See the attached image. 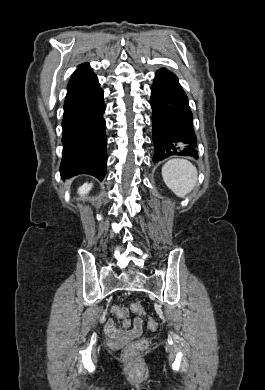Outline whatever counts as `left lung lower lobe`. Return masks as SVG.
Wrapping results in <instances>:
<instances>
[{"label":"left lung lower lobe","instance_id":"obj_1","mask_svg":"<svg viewBox=\"0 0 265 390\" xmlns=\"http://www.w3.org/2000/svg\"><path fill=\"white\" fill-rule=\"evenodd\" d=\"M150 103L153 109V162L176 155L198 159L192 113L176 75L166 69L156 72Z\"/></svg>","mask_w":265,"mask_h":390}]
</instances>
